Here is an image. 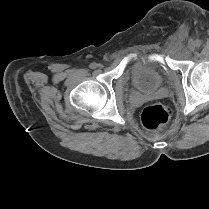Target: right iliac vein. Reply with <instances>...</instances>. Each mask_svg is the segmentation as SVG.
Listing matches in <instances>:
<instances>
[{
	"mask_svg": "<svg viewBox=\"0 0 209 209\" xmlns=\"http://www.w3.org/2000/svg\"><path fill=\"white\" fill-rule=\"evenodd\" d=\"M98 67H100V68H101V67H102V65H100V64H99V65H98Z\"/></svg>",
	"mask_w": 209,
	"mask_h": 209,
	"instance_id": "right-iliac-vein-1",
	"label": "right iliac vein"
}]
</instances>
